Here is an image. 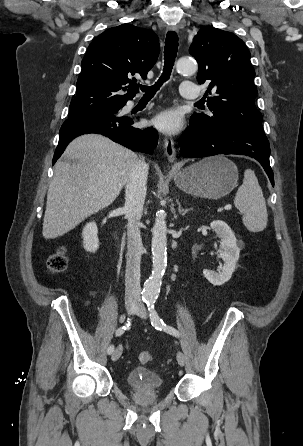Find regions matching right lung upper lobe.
<instances>
[{
	"label": "right lung upper lobe",
	"mask_w": 303,
	"mask_h": 446,
	"mask_svg": "<svg viewBox=\"0 0 303 446\" xmlns=\"http://www.w3.org/2000/svg\"><path fill=\"white\" fill-rule=\"evenodd\" d=\"M159 51L153 31L132 24L104 31L92 41L82 60L77 94L71 104L83 106L85 112L126 104L138 92L132 76L140 74L145 79Z\"/></svg>",
	"instance_id": "1"
}]
</instances>
